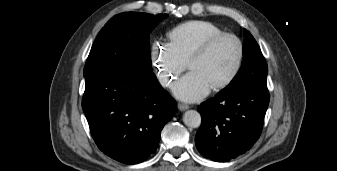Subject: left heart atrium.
<instances>
[{
  "label": "left heart atrium",
  "mask_w": 337,
  "mask_h": 171,
  "mask_svg": "<svg viewBox=\"0 0 337 171\" xmlns=\"http://www.w3.org/2000/svg\"><path fill=\"white\" fill-rule=\"evenodd\" d=\"M209 90L210 87L194 72H189L173 86L174 94L186 101L198 100L207 95Z\"/></svg>",
  "instance_id": "left-heart-atrium-1"
}]
</instances>
